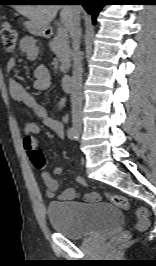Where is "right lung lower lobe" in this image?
Instances as JSON below:
<instances>
[{
	"label": "right lung lower lobe",
	"instance_id": "1",
	"mask_svg": "<svg viewBox=\"0 0 156 266\" xmlns=\"http://www.w3.org/2000/svg\"><path fill=\"white\" fill-rule=\"evenodd\" d=\"M60 2H51V3H65L66 1H72L83 5L85 10L92 15L93 22L96 23V17L99 11L105 4L106 0H56Z\"/></svg>",
	"mask_w": 156,
	"mask_h": 266
}]
</instances>
